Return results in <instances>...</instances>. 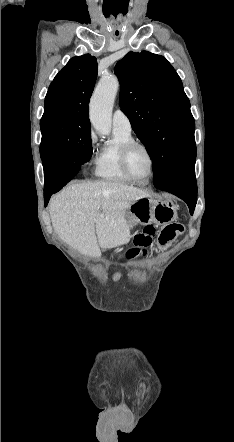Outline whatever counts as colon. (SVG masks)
<instances>
[{
	"label": "colon",
	"instance_id": "5ec220e1",
	"mask_svg": "<svg viewBox=\"0 0 234 442\" xmlns=\"http://www.w3.org/2000/svg\"><path fill=\"white\" fill-rule=\"evenodd\" d=\"M183 232V226L179 223H171L164 226L157 237V244L160 248H166L178 235ZM156 229L153 225H147L134 237V247L127 252L128 257L136 256L140 250H145L152 243Z\"/></svg>",
	"mask_w": 234,
	"mask_h": 442
}]
</instances>
